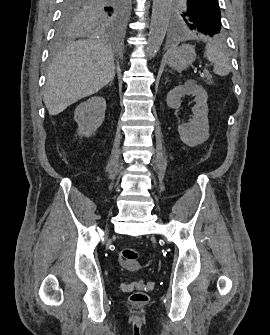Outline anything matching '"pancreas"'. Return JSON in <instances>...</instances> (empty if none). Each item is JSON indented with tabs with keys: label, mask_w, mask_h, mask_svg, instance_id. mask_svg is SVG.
Masks as SVG:
<instances>
[{
	"label": "pancreas",
	"mask_w": 270,
	"mask_h": 335,
	"mask_svg": "<svg viewBox=\"0 0 270 335\" xmlns=\"http://www.w3.org/2000/svg\"><path fill=\"white\" fill-rule=\"evenodd\" d=\"M204 76H205L206 80H209L208 84H213L212 76H211V74H209V72H204Z\"/></svg>",
	"instance_id": "1"
}]
</instances>
